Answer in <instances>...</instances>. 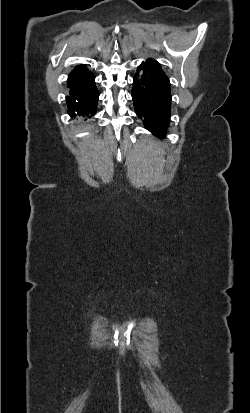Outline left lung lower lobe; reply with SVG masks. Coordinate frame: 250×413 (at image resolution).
<instances>
[{
	"label": "left lung lower lobe",
	"instance_id": "1",
	"mask_svg": "<svg viewBox=\"0 0 250 413\" xmlns=\"http://www.w3.org/2000/svg\"><path fill=\"white\" fill-rule=\"evenodd\" d=\"M132 98L135 112L146 129L163 138L169 125L171 93L169 79L157 61L148 59L138 66Z\"/></svg>",
	"mask_w": 250,
	"mask_h": 413
}]
</instances>
